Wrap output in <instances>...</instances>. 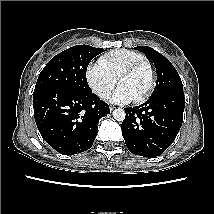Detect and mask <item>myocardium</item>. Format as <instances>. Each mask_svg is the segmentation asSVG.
Instances as JSON below:
<instances>
[{"instance_id":"obj_1","label":"myocardium","mask_w":214,"mask_h":214,"mask_svg":"<svg viewBox=\"0 0 214 214\" xmlns=\"http://www.w3.org/2000/svg\"><path fill=\"white\" fill-rule=\"evenodd\" d=\"M142 68H146L148 70L149 81L143 93L139 97L135 98L136 102H143L151 94L156 83V72H155L154 66L151 64V62L144 59L126 67L124 70H122V72L118 76V84H119V81L122 77L132 75Z\"/></svg>"}]
</instances>
